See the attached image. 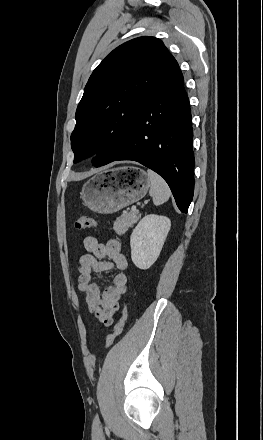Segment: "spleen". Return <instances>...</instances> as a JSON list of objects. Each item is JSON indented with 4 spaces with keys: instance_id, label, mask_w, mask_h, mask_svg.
<instances>
[{
    "instance_id": "obj_1",
    "label": "spleen",
    "mask_w": 263,
    "mask_h": 440,
    "mask_svg": "<svg viewBox=\"0 0 263 440\" xmlns=\"http://www.w3.org/2000/svg\"><path fill=\"white\" fill-rule=\"evenodd\" d=\"M147 174L150 180L149 194L153 199V203L161 205L169 199L171 195L170 188L165 180L154 171L148 169Z\"/></svg>"
}]
</instances>
